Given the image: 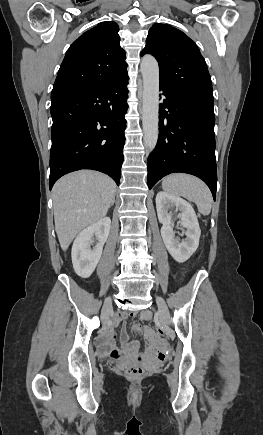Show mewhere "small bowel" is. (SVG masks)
I'll list each match as a JSON object with an SVG mask.
<instances>
[{
	"instance_id": "obj_1",
	"label": "small bowel",
	"mask_w": 263,
	"mask_h": 435,
	"mask_svg": "<svg viewBox=\"0 0 263 435\" xmlns=\"http://www.w3.org/2000/svg\"><path fill=\"white\" fill-rule=\"evenodd\" d=\"M149 313H142L143 319L149 318ZM126 318L124 313H119L116 316V323L122 322ZM147 339L151 341L150 347L147 348L148 354H153L155 361L158 364H161L165 359V354L162 349V337L159 332L151 331L150 329H145ZM115 338L114 330L111 326H109L103 335L100 338V346L101 348L112 358L115 360H119L124 356H137L139 343L137 341H130L129 336L126 331L122 330L120 334V339L123 344V349L117 347V345L113 342Z\"/></svg>"
}]
</instances>
